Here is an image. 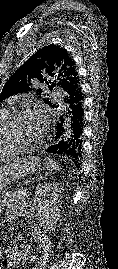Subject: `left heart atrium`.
Segmentation results:
<instances>
[{
    "label": "left heart atrium",
    "instance_id": "1",
    "mask_svg": "<svg viewBox=\"0 0 118 269\" xmlns=\"http://www.w3.org/2000/svg\"><path fill=\"white\" fill-rule=\"evenodd\" d=\"M32 113H33L35 120L40 125L41 130L44 131V129L46 128V124H47V118H46V114H45L44 110L36 109Z\"/></svg>",
    "mask_w": 118,
    "mask_h": 269
}]
</instances>
